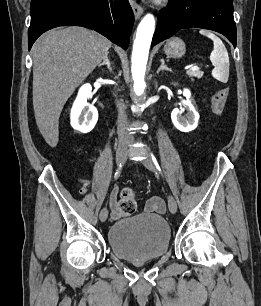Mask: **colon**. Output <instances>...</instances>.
Listing matches in <instances>:
<instances>
[{"label": "colon", "instance_id": "1", "mask_svg": "<svg viewBox=\"0 0 261 306\" xmlns=\"http://www.w3.org/2000/svg\"><path fill=\"white\" fill-rule=\"evenodd\" d=\"M229 88L224 87L217 91L211 99L212 110L215 114L221 115L225 110L226 103L229 98ZM118 209L126 215H132L137 210V199L131 189L122 191L117 202Z\"/></svg>", "mask_w": 261, "mask_h": 306}]
</instances>
